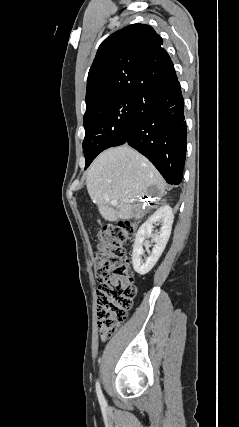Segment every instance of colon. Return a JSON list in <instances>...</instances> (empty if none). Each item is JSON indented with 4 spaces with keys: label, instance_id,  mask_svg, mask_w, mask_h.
I'll list each match as a JSON object with an SVG mask.
<instances>
[{
    "label": "colon",
    "instance_id": "5ec220e1",
    "mask_svg": "<svg viewBox=\"0 0 239 427\" xmlns=\"http://www.w3.org/2000/svg\"><path fill=\"white\" fill-rule=\"evenodd\" d=\"M135 231L132 222L104 226L99 234V248L94 272L97 290V325L103 339L114 334L131 309L137 288L129 267L127 243Z\"/></svg>",
    "mask_w": 239,
    "mask_h": 427
}]
</instances>
